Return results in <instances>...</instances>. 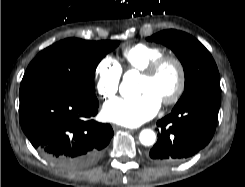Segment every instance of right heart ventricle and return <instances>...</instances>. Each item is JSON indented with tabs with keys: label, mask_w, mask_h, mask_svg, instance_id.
Returning a JSON list of instances; mask_svg holds the SVG:
<instances>
[{
	"label": "right heart ventricle",
	"mask_w": 245,
	"mask_h": 187,
	"mask_svg": "<svg viewBox=\"0 0 245 187\" xmlns=\"http://www.w3.org/2000/svg\"><path fill=\"white\" fill-rule=\"evenodd\" d=\"M165 54L162 47L145 43L126 46L121 51L122 59L129 70L142 71L152 60Z\"/></svg>",
	"instance_id": "right-heart-ventricle-1"
}]
</instances>
